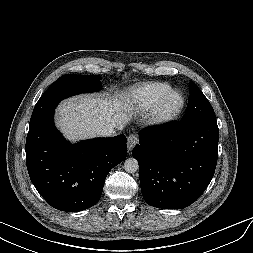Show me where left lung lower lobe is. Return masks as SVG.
I'll use <instances>...</instances> for the list:
<instances>
[{"label": "left lung lower lobe", "instance_id": "0a47b994", "mask_svg": "<svg viewBox=\"0 0 253 253\" xmlns=\"http://www.w3.org/2000/svg\"><path fill=\"white\" fill-rule=\"evenodd\" d=\"M218 136L216 119L142 130L132 155L147 204L181 209L195 202L213 178Z\"/></svg>", "mask_w": 253, "mask_h": 253}]
</instances>
